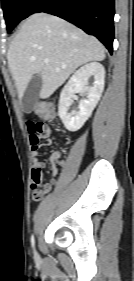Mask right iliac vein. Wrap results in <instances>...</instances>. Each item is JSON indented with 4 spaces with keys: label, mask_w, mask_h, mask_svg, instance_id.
<instances>
[{
    "label": "right iliac vein",
    "mask_w": 134,
    "mask_h": 281,
    "mask_svg": "<svg viewBox=\"0 0 134 281\" xmlns=\"http://www.w3.org/2000/svg\"><path fill=\"white\" fill-rule=\"evenodd\" d=\"M35 256H36V257L38 256L37 252H35Z\"/></svg>",
    "instance_id": "1"
}]
</instances>
